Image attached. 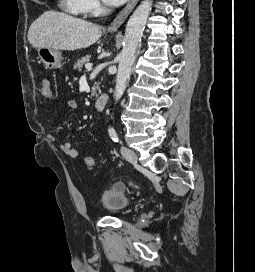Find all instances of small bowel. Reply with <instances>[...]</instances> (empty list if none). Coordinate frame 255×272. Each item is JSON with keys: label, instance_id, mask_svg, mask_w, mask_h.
Returning <instances> with one entry per match:
<instances>
[{"label": "small bowel", "instance_id": "c3829d8e", "mask_svg": "<svg viewBox=\"0 0 255 272\" xmlns=\"http://www.w3.org/2000/svg\"><path fill=\"white\" fill-rule=\"evenodd\" d=\"M68 106L71 110H77L78 106L76 104V102L74 101H70L68 103ZM48 139L51 141V142H55L57 140V137L55 134H49L48 135ZM59 148L69 157V158H76L78 157L79 155V151L78 149L73 145L71 144L70 142H62L59 144Z\"/></svg>", "mask_w": 255, "mask_h": 272}]
</instances>
